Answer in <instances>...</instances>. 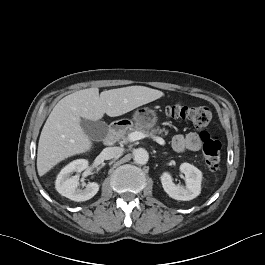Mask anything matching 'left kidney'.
I'll list each match as a JSON object with an SVG mask.
<instances>
[{
	"label": "left kidney",
	"instance_id": "1",
	"mask_svg": "<svg viewBox=\"0 0 265 265\" xmlns=\"http://www.w3.org/2000/svg\"><path fill=\"white\" fill-rule=\"evenodd\" d=\"M180 171L185 175L186 186L174 184L170 173L164 172L161 175L163 189L175 200H192L201 192L202 172L189 163H182L180 165Z\"/></svg>",
	"mask_w": 265,
	"mask_h": 265
}]
</instances>
